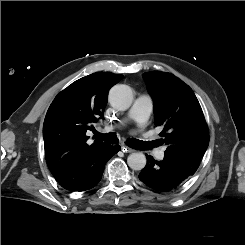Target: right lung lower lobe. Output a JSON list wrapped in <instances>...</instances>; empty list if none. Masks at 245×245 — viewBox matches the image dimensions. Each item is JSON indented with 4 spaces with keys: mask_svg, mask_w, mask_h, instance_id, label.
Masks as SVG:
<instances>
[{
    "mask_svg": "<svg viewBox=\"0 0 245 245\" xmlns=\"http://www.w3.org/2000/svg\"><path fill=\"white\" fill-rule=\"evenodd\" d=\"M121 147L106 144L89 155L72 162L59 175L58 183L69 191H85L95 187L101 180L105 164Z\"/></svg>",
    "mask_w": 245,
    "mask_h": 245,
    "instance_id": "1",
    "label": "right lung lower lobe"
}]
</instances>
